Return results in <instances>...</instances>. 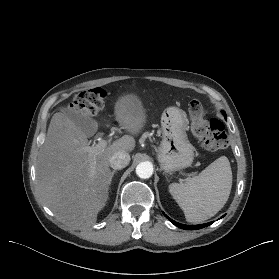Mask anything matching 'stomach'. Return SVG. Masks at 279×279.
Segmentation results:
<instances>
[{
  "mask_svg": "<svg viewBox=\"0 0 279 279\" xmlns=\"http://www.w3.org/2000/svg\"><path fill=\"white\" fill-rule=\"evenodd\" d=\"M161 129L163 138L157 153L161 169L169 173L190 166L194 159V147L186 134V113L177 107L166 108L161 116Z\"/></svg>",
  "mask_w": 279,
  "mask_h": 279,
  "instance_id": "1",
  "label": "stomach"
}]
</instances>
